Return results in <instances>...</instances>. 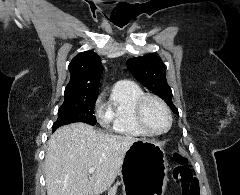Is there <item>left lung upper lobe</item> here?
I'll return each instance as SVG.
<instances>
[{
    "mask_svg": "<svg viewBox=\"0 0 240 195\" xmlns=\"http://www.w3.org/2000/svg\"><path fill=\"white\" fill-rule=\"evenodd\" d=\"M127 67L143 86L164 99L172 111L179 115L177 108L172 102V90L165 76L166 68L157 55L147 54L143 57L128 59Z\"/></svg>",
    "mask_w": 240,
    "mask_h": 195,
    "instance_id": "obj_1",
    "label": "left lung upper lobe"
}]
</instances>
